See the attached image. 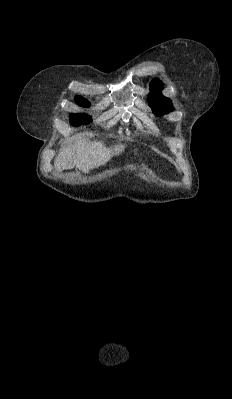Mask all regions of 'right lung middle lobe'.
<instances>
[{
	"label": "right lung middle lobe",
	"instance_id": "dd1d6c3e",
	"mask_svg": "<svg viewBox=\"0 0 232 399\" xmlns=\"http://www.w3.org/2000/svg\"><path fill=\"white\" fill-rule=\"evenodd\" d=\"M76 103L81 107H88L89 102L81 96L75 98ZM92 121L91 117L81 113H73L70 115V123L73 126H79L81 124H88Z\"/></svg>",
	"mask_w": 232,
	"mask_h": 399
}]
</instances>
